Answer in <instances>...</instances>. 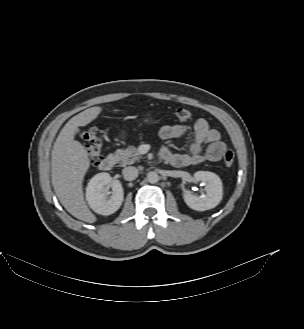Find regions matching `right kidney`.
<instances>
[{"label": "right kidney", "instance_id": "ca27d5eb", "mask_svg": "<svg viewBox=\"0 0 304 329\" xmlns=\"http://www.w3.org/2000/svg\"><path fill=\"white\" fill-rule=\"evenodd\" d=\"M112 188V195L106 198L107 188ZM124 192L119 180H113L110 174L102 172L91 178L86 187V200L90 208L101 215H111L123 202Z\"/></svg>", "mask_w": 304, "mask_h": 329}]
</instances>
